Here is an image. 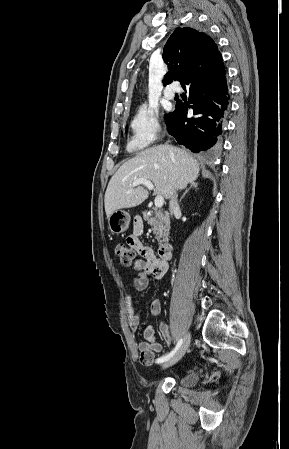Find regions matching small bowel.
Segmentation results:
<instances>
[{
    "instance_id": "c3829d8e",
    "label": "small bowel",
    "mask_w": 289,
    "mask_h": 449,
    "mask_svg": "<svg viewBox=\"0 0 289 449\" xmlns=\"http://www.w3.org/2000/svg\"><path fill=\"white\" fill-rule=\"evenodd\" d=\"M143 232V221L136 218L133 222V229L131 234L127 237L126 242L131 246L141 258L136 259L132 267L137 271V276L131 280V285L136 291H143L149 285V278L160 280L168 271V263L156 257L153 249L146 246L140 240ZM127 320L130 329L136 332L139 328V315L133 304L130 293L125 296ZM161 302L154 299L150 304V313L157 316L161 312ZM159 331L164 340L168 344H172V337L166 323L159 324ZM144 340L138 344L139 358L142 364L151 365L154 362L155 354L162 351V345L156 340L155 328L153 325H148L143 331Z\"/></svg>"
}]
</instances>
